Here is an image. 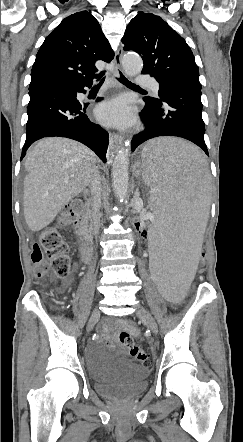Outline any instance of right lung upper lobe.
<instances>
[{
	"label": "right lung upper lobe",
	"mask_w": 243,
	"mask_h": 442,
	"mask_svg": "<svg viewBox=\"0 0 243 442\" xmlns=\"http://www.w3.org/2000/svg\"><path fill=\"white\" fill-rule=\"evenodd\" d=\"M114 53L95 17L81 11L66 17L46 37L31 73L30 88L45 83L82 85L99 77L95 62Z\"/></svg>",
	"instance_id": "right-lung-upper-lobe-1"
}]
</instances>
